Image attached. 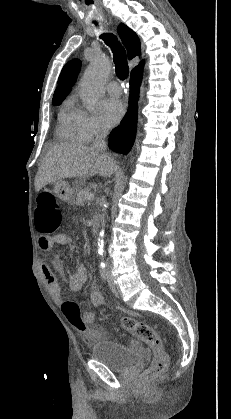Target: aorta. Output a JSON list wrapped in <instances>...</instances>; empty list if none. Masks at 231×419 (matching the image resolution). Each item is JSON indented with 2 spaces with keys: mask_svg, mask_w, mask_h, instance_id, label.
Masks as SVG:
<instances>
[{
  "mask_svg": "<svg viewBox=\"0 0 231 419\" xmlns=\"http://www.w3.org/2000/svg\"><path fill=\"white\" fill-rule=\"evenodd\" d=\"M111 70V63L105 56H97L87 68L81 82V96L86 108L95 112L103 92V84ZM97 251L101 260L104 254V230L99 233Z\"/></svg>",
  "mask_w": 231,
  "mask_h": 419,
  "instance_id": "obj_1",
  "label": "aorta"
}]
</instances>
